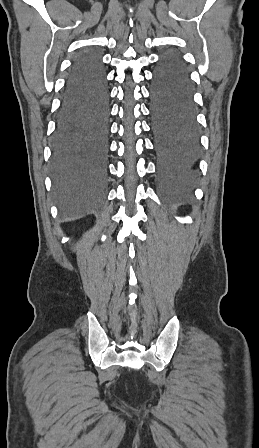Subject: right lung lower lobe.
Segmentation results:
<instances>
[{
	"instance_id": "obj_1",
	"label": "right lung lower lobe",
	"mask_w": 259,
	"mask_h": 448,
	"mask_svg": "<svg viewBox=\"0 0 259 448\" xmlns=\"http://www.w3.org/2000/svg\"><path fill=\"white\" fill-rule=\"evenodd\" d=\"M109 88L104 64L84 51L69 71L52 138L51 169L60 186H99L109 159Z\"/></svg>"
}]
</instances>
